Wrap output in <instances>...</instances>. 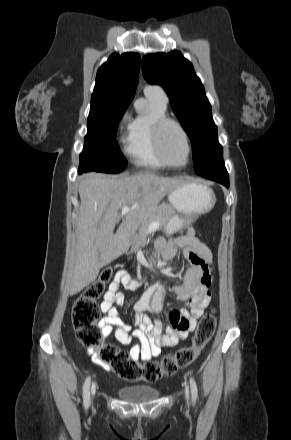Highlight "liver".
<instances>
[{"mask_svg": "<svg viewBox=\"0 0 291 440\" xmlns=\"http://www.w3.org/2000/svg\"><path fill=\"white\" fill-rule=\"evenodd\" d=\"M183 183L143 172L122 178H106L88 173L79 185L80 208L77 220V258L70 294L74 295L95 281L102 267L129 248L140 225L155 211L166 194ZM134 207L125 214L114 234L118 211Z\"/></svg>", "mask_w": 291, "mask_h": 440, "instance_id": "1", "label": "liver"}]
</instances>
